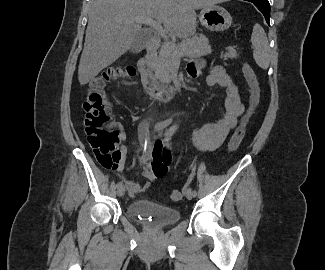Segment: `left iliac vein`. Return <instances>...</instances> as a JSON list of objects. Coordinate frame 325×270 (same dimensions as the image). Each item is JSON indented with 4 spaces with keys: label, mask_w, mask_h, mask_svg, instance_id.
Returning <instances> with one entry per match:
<instances>
[{
    "label": "left iliac vein",
    "mask_w": 325,
    "mask_h": 270,
    "mask_svg": "<svg viewBox=\"0 0 325 270\" xmlns=\"http://www.w3.org/2000/svg\"><path fill=\"white\" fill-rule=\"evenodd\" d=\"M186 198L188 200H191L194 197L193 191L191 188L187 189L185 192Z\"/></svg>",
    "instance_id": "1"
}]
</instances>
